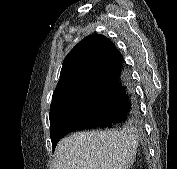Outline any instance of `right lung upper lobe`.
Listing matches in <instances>:
<instances>
[{
    "mask_svg": "<svg viewBox=\"0 0 177 169\" xmlns=\"http://www.w3.org/2000/svg\"><path fill=\"white\" fill-rule=\"evenodd\" d=\"M119 54L114 43L104 35L93 34L81 40L71 50L63 64L51 105L71 94L83 83L88 82L93 75Z\"/></svg>",
    "mask_w": 177,
    "mask_h": 169,
    "instance_id": "cb5924a9",
    "label": "right lung upper lobe"
}]
</instances>
